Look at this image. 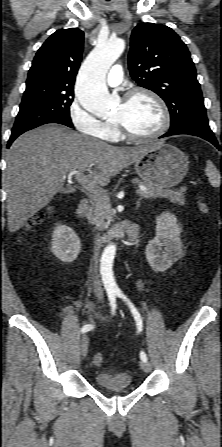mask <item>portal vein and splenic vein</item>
<instances>
[{
  "label": "portal vein and splenic vein",
  "mask_w": 222,
  "mask_h": 447,
  "mask_svg": "<svg viewBox=\"0 0 222 447\" xmlns=\"http://www.w3.org/2000/svg\"><path fill=\"white\" fill-rule=\"evenodd\" d=\"M79 174V172L74 171L69 174V177L71 178L73 175ZM78 182L90 193L93 195H103L104 197L108 198L107 193L100 189L94 182H91L87 179L83 178H77ZM147 188L145 186H139V189L137 190V193L145 192Z\"/></svg>",
  "instance_id": "1"
}]
</instances>
